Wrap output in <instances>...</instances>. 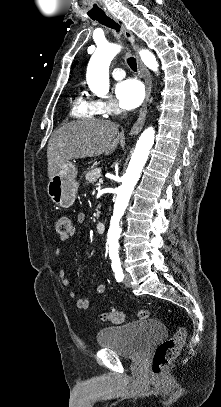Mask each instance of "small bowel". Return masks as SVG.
Segmentation results:
<instances>
[{
	"label": "small bowel",
	"mask_w": 221,
	"mask_h": 407,
	"mask_svg": "<svg viewBox=\"0 0 221 407\" xmlns=\"http://www.w3.org/2000/svg\"><path fill=\"white\" fill-rule=\"evenodd\" d=\"M85 222H86L85 215L84 214L78 215L77 223L82 226L85 224ZM74 232H75L74 230L70 231V233L67 236L60 237L59 241L68 240L74 234ZM60 253H61V249L59 247H57L55 250V254L60 255ZM59 277L61 279V284L63 287H65V288L70 287V281L66 277V273L64 270L59 271ZM105 291H106V285L104 283H100L97 285V287H96L97 296L102 295ZM68 295L71 299H76V307L79 310H87L89 308V301L84 298H77V293L75 291H73V290L69 291Z\"/></svg>",
	"instance_id": "obj_1"
}]
</instances>
